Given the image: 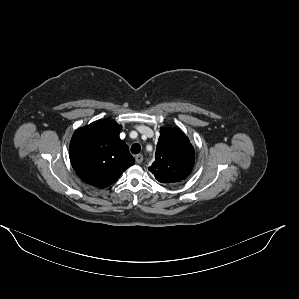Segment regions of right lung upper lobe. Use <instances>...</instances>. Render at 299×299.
I'll return each instance as SVG.
<instances>
[{
	"label": "right lung upper lobe",
	"mask_w": 299,
	"mask_h": 299,
	"mask_svg": "<svg viewBox=\"0 0 299 299\" xmlns=\"http://www.w3.org/2000/svg\"><path fill=\"white\" fill-rule=\"evenodd\" d=\"M121 126L110 120L95 121L73 134L69 155L72 167L86 183L105 188L135 162L119 137Z\"/></svg>",
	"instance_id": "cb5924a9"
}]
</instances>
